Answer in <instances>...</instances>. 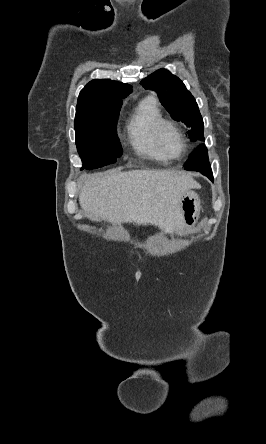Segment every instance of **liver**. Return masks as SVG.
<instances>
[{"mask_svg": "<svg viewBox=\"0 0 266 444\" xmlns=\"http://www.w3.org/2000/svg\"><path fill=\"white\" fill-rule=\"evenodd\" d=\"M79 202L93 221L155 225L165 233L183 232L180 200L197 188L184 172L131 170L110 175L84 174Z\"/></svg>", "mask_w": 266, "mask_h": 444, "instance_id": "obj_1", "label": "liver"}]
</instances>
